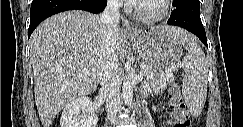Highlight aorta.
I'll return each mask as SVG.
<instances>
[{"label": "aorta", "mask_w": 243, "mask_h": 127, "mask_svg": "<svg viewBox=\"0 0 243 127\" xmlns=\"http://www.w3.org/2000/svg\"><path fill=\"white\" fill-rule=\"evenodd\" d=\"M122 94L124 102L127 106H131L133 101V83L131 77L127 76L124 79L122 86Z\"/></svg>", "instance_id": "762f6f07"}]
</instances>
